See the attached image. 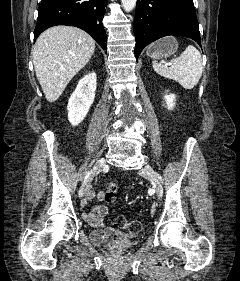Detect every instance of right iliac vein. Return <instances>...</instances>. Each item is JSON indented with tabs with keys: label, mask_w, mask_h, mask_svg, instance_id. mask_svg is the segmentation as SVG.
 Masks as SVG:
<instances>
[{
	"label": "right iliac vein",
	"mask_w": 240,
	"mask_h": 281,
	"mask_svg": "<svg viewBox=\"0 0 240 281\" xmlns=\"http://www.w3.org/2000/svg\"><path fill=\"white\" fill-rule=\"evenodd\" d=\"M105 165V159H99L96 164L94 165L92 174L88 177V179L82 184L79 189V197H83L85 193L89 190L92 178L96 175Z\"/></svg>",
	"instance_id": "63e3f726"
}]
</instances>
